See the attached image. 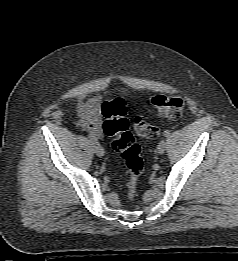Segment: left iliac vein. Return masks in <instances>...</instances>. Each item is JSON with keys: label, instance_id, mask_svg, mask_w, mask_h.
Masks as SVG:
<instances>
[{"label": "left iliac vein", "instance_id": "left-iliac-vein-1", "mask_svg": "<svg viewBox=\"0 0 238 261\" xmlns=\"http://www.w3.org/2000/svg\"><path fill=\"white\" fill-rule=\"evenodd\" d=\"M166 148V142L164 140L160 141L157 146V152L159 154H163Z\"/></svg>", "mask_w": 238, "mask_h": 261}]
</instances>
